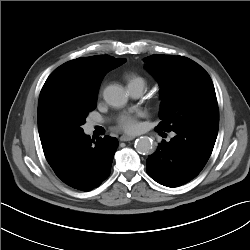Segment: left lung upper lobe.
I'll use <instances>...</instances> for the list:
<instances>
[{"label": "left lung upper lobe", "instance_id": "obj_1", "mask_svg": "<svg viewBox=\"0 0 250 250\" xmlns=\"http://www.w3.org/2000/svg\"><path fill=\"white\" fill-rule=\"evenodd\" d=\"M146 69L161 87V131L219 124L215 89L208 73L189 58L151 55Z\"/></svg>", "mask_w": 250, "mask_h": 250}]
</instances>
